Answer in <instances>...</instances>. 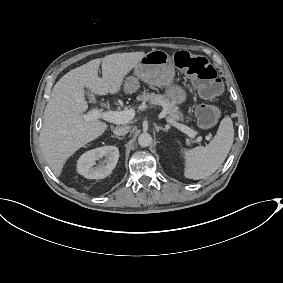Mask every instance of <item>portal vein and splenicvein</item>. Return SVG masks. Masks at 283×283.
Masks as SVG:
<instances>
[{
    "mask_svg": "<svg viewBox=\"0 0 283 283\" xmlns=\"http://www.w3.org/2000/svg\"><path fill=\"white\" fill-rule=\"evenodd\" d=\"M134 117V112L132 110H126V111H113V110H107L103 111L99 107L92 106L87 113V115L84 117L86 121H96L99 119L114 123V124H122L127 123ZM180 130L185 133L188 137H190L192 140L195 139L196 135L200 134L199 131H195L188 126L180 125ZM206 140L210 139V136H205ZM202 140V137L199 136L197 138V141L200 142Z\"/></svg>",
    "mask_w": 283,
    "mask_h": 283,
    "instance_id": "18ae733b",
    "label": "portal vein and splenic vein"
}]
</instances>
